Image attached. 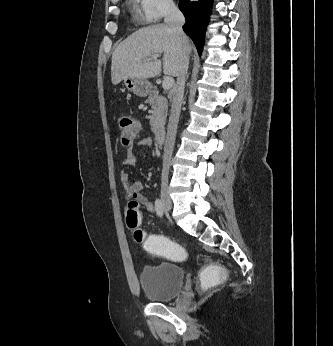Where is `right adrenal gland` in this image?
<instances>
[{"label":"right adrenal gland","instance_id":"right-adrenal-gland-1","mask_svg":"<svg viewBox=\"0 0 333 346\" xmlns=\"http://www.w3.org/2000/svg\"><path fill=\"white\" fill-rule=\"evenodd\" d=\"M189 78V74L187 75V77H186V80Z\"/></svg>","mask_w":333,"mask_h":346}]
</instances>
